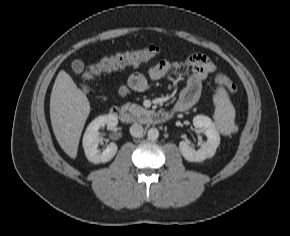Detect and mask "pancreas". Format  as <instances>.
I'll list each match as a JSON object with an SVG mask.
<instances>
[{"mask_svg": "<svg viewBox=\"0 0 290 236\" xmlns=\"http://www.w3.org/2000/svg\"><path fill=\"white\" fill-rule=\"evenodd\" d=\"M123 108L128 110L135 117H139L148 113L146 109L137 104L127 103L123 106Z\"/></svg>", "mask_w": 290, "mask_h": 236, "instance_id": "cf45deb5", "label": "pancreas"}]
</instances>
